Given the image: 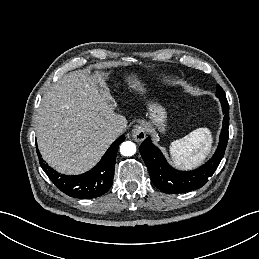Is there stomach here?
<instances>
[{"instance_id": "1", "label": "stomach", "mask_w": 259, "mask_h": 259, "mask_svg": "<svg viewBox=\"0 0 259 259\" xmlns=\"http://www.w3.org/2000/svg\"><path fill=\"white\" fill-rule=\"evenodd\" d=\"M109 73H105V72H101L98 73V76H100L103 79H107L108 78ZM129 81H131V77L128 78ZM132 87L133 88H139L140 90H143L140 83L138 81H132ZM148 109H149V115H150V119H151V123L158 127V129L160 131H164L165 130V122H166V111L165 109L157 104V103H151L148 105Z\"/></svg>"}]
</instances>
